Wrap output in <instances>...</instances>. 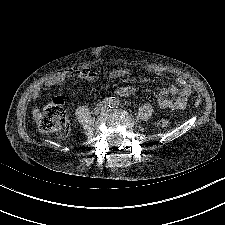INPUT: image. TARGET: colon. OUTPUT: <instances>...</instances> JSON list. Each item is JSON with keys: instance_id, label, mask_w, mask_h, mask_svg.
Returning a JSON list of instances; mask_svg holds the SVG:
<instances>
[{"instance_id": "colon-1", "label": "colon", "mask_w": 225, "mask_h": 225, "mask_svg": "<svg viewBox=\"0 0 225 225\" xmlns=\"http://www.w3.org/2000/svg\"><path fill=\"white\" fill-rule=\"evenodd\" d=\"M39 129L45 133H56L65 138L70 134L67 112L60 98L54 99L36 116ZM169 124L167 118H161L158 122L160 127H166Z\"/></svg>"}]
</instances>
